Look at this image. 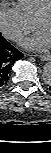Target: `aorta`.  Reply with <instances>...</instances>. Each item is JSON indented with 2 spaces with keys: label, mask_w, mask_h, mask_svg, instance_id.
I'll list each match as a JSON object with an SVG mask.
<instances>
[{
  "label": "aorta",
  "mask_w": 51,
  "mask_h": 153,
  "mask_svg": "<svg viewBox=\"0 0 51 153\" xmlns=\"http://www.w3.org/2000/svg\"><path fill=\"white\" fill-rule=\"evenodd\" d=\"M42 79L46 84H51V64L49 62L43 67Z\"/></svg>",
  "instance_id": "obj_1"
}]
</instances>
